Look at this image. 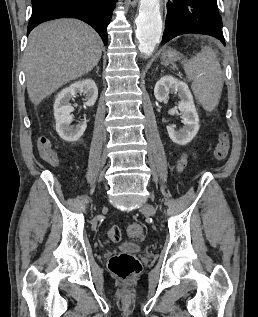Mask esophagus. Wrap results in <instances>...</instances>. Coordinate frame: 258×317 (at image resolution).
<instances>
[{"label": "esophagus", "instance_id": "1", "mask_svg": "<svg viewBox=\"0 0 258 317\" xmlns=\"http://www.w3.org/2000/svg\"><path fill=\"white\" fill-rule=\"evenodd\" d=\"M138 2V0H125V3L128 4V5H136V3Z\"/></svg>", "mask_w": 258, "mask_h": 317}]
</instances>
